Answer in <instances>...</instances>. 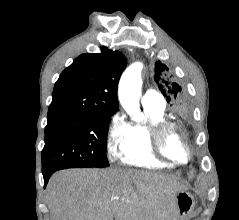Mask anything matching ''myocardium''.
Returning a JSON list of instances; mask_svg holds the SVG:
<instances>
[{
  "label": "myocardium",
  "mask_w": 239,
  "mask_h": 220,
  "mask_svg": "<svg viewBox=\"0 0 239 220\" xmlns=\"http://www.w3.org/2000/svg\"><path fill=\"white\" fill-rule=\"evenodd\" d=\"M171 132L178 134L183 142L186 150V159L184 161L174 160L165 151V138ZM149 133L151 149L156 157L175 166H183L190 161L192 157L191 147L185 132L177 124L165 121L151 127Z\"/></svg>",
  "instance_id": "1"
}]
</instances>
